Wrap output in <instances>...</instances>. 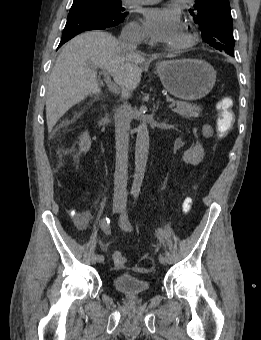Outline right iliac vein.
I'll return each instance as SVG.
<instances>
[{
    "instance_id": "right-iliac-vein-1",
    "label": "right iliac vein",
    "mask_w": 261,
    "mask_h": 340,
    "mask_svg": "<svg viewBox=\"0 0 261 340\" xmlns=\"http://www.w3.org/2000/svg\"><path fill=\"white\" fill-rule=\"evenodd\" d=\"M123 208V202L121 200H114L113 202V211L114 212H120ZM89 261L92 265L97 263V254L96 253H92L90 255Z\"/></svg>"
}]
</instances>
